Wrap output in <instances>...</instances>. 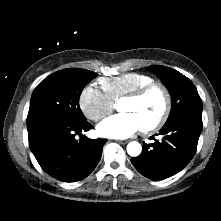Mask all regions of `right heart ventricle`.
<instances>
[{
    "mask_svg": "<svg viewBox=\"0 0 221 221\" xmlns=\"http://www.w3.org/2000/svg\"><path fill=\"white\" fill-rule=\"evenodd\" d=\"M152 82H154V79L151 76L139 72H129L116 77H104L99 80L103 92L113 102Z\"/></svg>",
    "mask_w": 221,
    "mask_h": 221,
    "instance_id": "obj_1",
    "label": "right heart ventricle"
}]
</instances>
